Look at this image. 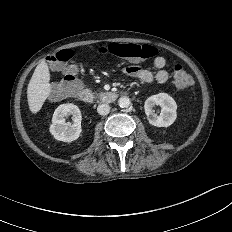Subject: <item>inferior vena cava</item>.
Here are the masks:
<instances>
[{"label":"inferior vena cava","instance_id":"inferior-vena-cava-1","mask_svg":"<svg viewBox=\"0 0 232 232\" xmlns=\"http://www.w3.org/2000/svg\"><path fill=\"white\" fill-rule=\"evenodd\" d=\"M97 112L100 115H107L110 112V106L108 104L102 103V104L98 105Z\"/></svg>","mask_w":232,"mask_h":232}]
</instances>
